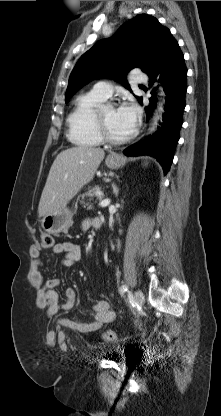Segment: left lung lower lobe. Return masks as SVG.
Listing matches in <instances>:
<instances>
[{
	"label": "left lung lower lobe",
	"instance_id": "left-lung-lower-lobe-1",
	"mask_svg": "<svg viewBox=\"0 0 221 416\" xmlns=\"http://www.w3.org/2000/svg\"><path fill=\"white\" fill-rule=\"evenodd\" d=\"M145 72L150 77V86L156 82V77H159L158 81L164 87L166 106L163 122L152 136H148L144 141L128 147L124 154L129 156H153L162 165L164 174H167L180 136L187 91V68L184 64V56L178 42L169 30L163 35ZM156 90L157 88H154L151 91L150 104L145 107L147 119L156 107ZM140 103L142 104V99Z\"/></svg>",
	"mask_w": 221,
	"mask_h": 416
}]
</instances>
